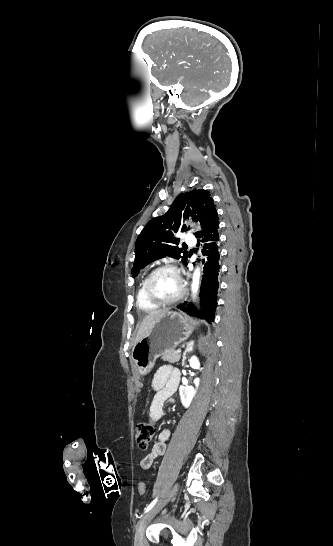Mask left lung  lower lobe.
I'll list each match as a JSON object with an SVG mask.
<instances>
[{"mask_svg":"<svg viewBox=\"0 0 333 546\" xmlns=\"http://www.w3.org/2000/svg\"><path fill=\"white\" fill-rule=\"evenodd\" d=\"M219 218L218 214L213 217L210 224L202 231L198 237H203L201 240L204 242L203 259L204 274L200 287V311L193 306V304H187L186 302L177 306V308L183 310L191 316L198 315L200 318L205 319L208 323H212L215 318V310L217 307V295L219 289V260L220 254L218 250L219 243Z\"/></svg>","mask_w":333,"mask_h":546,"instance_id":"obj_1","label":"left lung lower lobe"}]
</instances>
